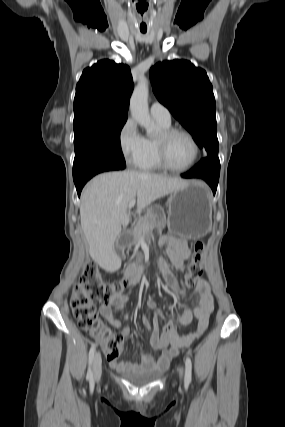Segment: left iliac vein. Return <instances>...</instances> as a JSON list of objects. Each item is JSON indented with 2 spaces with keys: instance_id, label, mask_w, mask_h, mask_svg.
<instances>
[{
  "instance_id": "left-iliac-vein-1",
  "label": "left iliac vein",
  "mask_w": 285,
  "mask_h": 427,
  "mask_svg": "<svg viewBox=\"0 0 285 427\" xmlns=\"http://www.w3.org/2000/svg\"><path fill=\"white\" fill-rule=\"evenodd\" d=\"M179 375H180V377L182 378V376H183V368H180V369H179Z\"/></svg>"
}]
</instances>
